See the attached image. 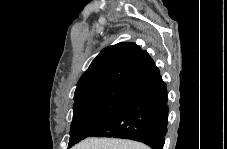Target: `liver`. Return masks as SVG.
I'll return each instance as SVG.
<instances>
[{"mask_svg":"<svg viewBox=\"0 0 227 149\" xmlns=\"http://www.w3.org/2000/svg\"><path fill=\"white\" fill-rule=\"evenodd\" d=\"M76 149H149V147L131 140L89 138L77 145Z\"/></svg>","mask_w":227,"mask_h":149,"instance_id":"obj_1","label":"liver"}]
</instances>
